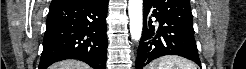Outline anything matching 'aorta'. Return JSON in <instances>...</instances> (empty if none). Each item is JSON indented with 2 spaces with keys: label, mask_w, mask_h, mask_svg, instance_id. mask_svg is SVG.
<instances>
[{
  "label": "aorta",
  "mask_w": 246,
  "mask_h": 69,
  "mask_svg": "<svg viewBox=\"0 0 246 69\" xmlns=\"http://www.w3.org/2000/svg\"><path fill=\"white\" fill-rule=\"evenodd\" d=\"M128 15L130 19L131 38L138 43L142 35L143 0H129Z\"/></svg>",
  "instance_id": "obj_1"
}]
</instances>
